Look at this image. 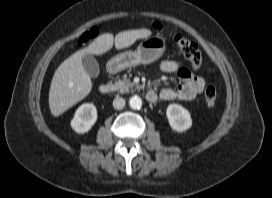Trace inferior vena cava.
I'll use <instances>...</instances> for the list:
<instances>
[{
	"mask_svg": "<svg viewBox=\"0 0 272 198\" xmlns=\"http://www.w3.org/2000/svg\"><path fill=\"white\" fill-rule=\"evenodd\" d=\"M125 104H126L125 99L122 97H116L113 100V107L117 110L123 109L125 107Z\"/></svg>",
	"mask_w": 272,
	"mask_h": 198,
	"instance_id": "602c4592",
	"label": "inferior vena cava"
}]
</instances>
